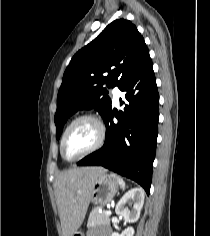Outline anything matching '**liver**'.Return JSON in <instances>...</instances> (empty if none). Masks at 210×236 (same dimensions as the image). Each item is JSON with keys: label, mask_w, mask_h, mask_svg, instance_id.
Returning <instances> with one entry per match:
<instances>
[{"label": "liver", "mask_w": 210, "mask_h": 236, "mask_svg": "<svg viewBox=\"0 0 210 236\" xmlns=\"http://www.w3.org/2000/svg\"><path fill=\"white\" fill-rule=\"evenodd\" d=\"M103 167H75L60 173L55 180V195L63 236H73L85 218L94 181Z\"/></svg>", "instance_id": "6515ba94"}]
</instances>
